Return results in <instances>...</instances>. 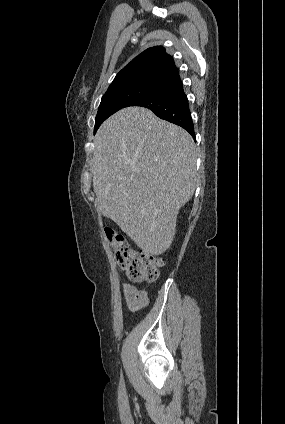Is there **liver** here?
<instances>
[{
    "instance_id": "liver-1",
    "label": "liver",
    "mask_w": 285,
    "mask_h": 424,
    "mask_svg": "<svg viewBox=\"0 0 285 424\" xmlns=\"http://www.w3.org/2000/svg\"><path fill=\"white\" fill-rule=\"evenodd\" d=\"M96 204L135 244L160 255L171 245L177 215L196 187L190 134L143 107L109 117L94 138Z\"/></svg>"
}]
</instances>
